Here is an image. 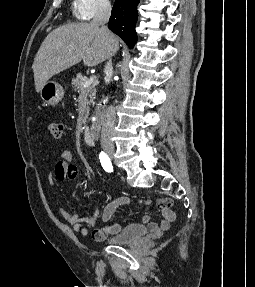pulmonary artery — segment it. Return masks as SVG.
<instances>
[{
  "label": "pulmonary artery",
  "mask_w": 255,
  "mask_h": 287,
  "mask_svg": "<svg viewBox=\"0 0 255 287\" xmlns=\"http://www.w3.org/2000/svg\"><path fill=\"white\" fill-rule=\"evenodd\" d=\"M122 33H130V32H122ZM126 39H129V38H126Z\"/></svg>",
  "instance_id": "obj_1"
}]
</instances>
